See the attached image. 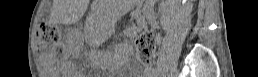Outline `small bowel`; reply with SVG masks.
<instances>
[{"instance_id": "obj_1", "label": "small bowel", "mask_w": 258, "mask_h": 77, "mask_svg": "<svg viewBox=\"0 0 258 77\" xmlns=\"http://www.w3.org/2000/svg\"><path fill=\"white\" fill-rule=\"evenodd\" d=\"M145 73H146V74H150V73H152V72H151V71H146Z\"/></svg>"}]
</instances>
